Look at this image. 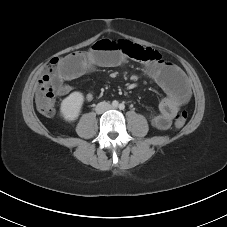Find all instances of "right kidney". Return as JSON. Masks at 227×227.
<instances>
[{"label": "right kidney", "instance_id": "obj_1", "mask_svg": "<svg viewBox=\"0 0 227 227\" xmlns=\"http://www.w3.org/2000/svg\"><path fill=\"white\" fill-rule=\"evenodd\" d=\"M83 102L84 96L81 92H72L61 102V116L68 122L76 120L81 112Z\"/></svg>", "mask_w": 227, "mask_h": 227}]
</instances>
